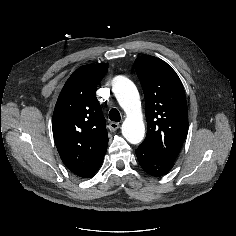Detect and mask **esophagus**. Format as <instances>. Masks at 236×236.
Listing matches in <instances>:
<instances>
[{
  "label": "esophagus",
  "instance_id": "1",
  "mask_svg": "<svg viewBox=\"0 0 236 236\" xmlns=\"http://www.w3.org/2000/svg\"><path fill=\"white\" fill-rule=\"evenodd\" d=\"M119 127H120V124H119L118 122H111V123L109 124V128H110V130H112V131L117 130Z\"/></svg>",
  "mask_w": 236,
  "mask_h": 236
}]
</instances>
